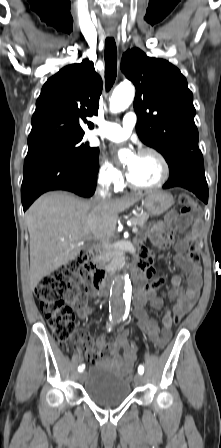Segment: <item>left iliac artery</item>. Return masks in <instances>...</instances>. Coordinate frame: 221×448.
Segmentation results:
<instances>
[{"label": "left iliac artery", "mask_w": 221, "mask_h": 448, "mask_svg": "<svg viewBox=\"0 0 221 448\" xmlns=\"http://www.w3.org/2000/svg\"><path fill=\"white\" fill-rule=\"evenodd\" d=\"M125 317H127V315H126ZM125 317H124V318H125ZM138 373L141 374V375L144 373V367H143L142 365H140V366L138 367Z\"/></svg>", "instance_id": "obj_1"}]
</instances>
